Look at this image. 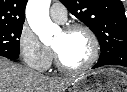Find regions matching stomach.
<instances>
[{"instance_id":"0dacf381","label":"stomach","mask_w":127,"mask_h":92,"mask_svg":"<svg viewBox=\"0 0 127 92\" xmlns=\"http://www.w3.org/2000/svg\"><path fill=\"white\" fill-rule=\"evenodd\" d=\"M70 92H127V74L112 68L88 72L78 77Z\"/></svg>"}]
</instances>
